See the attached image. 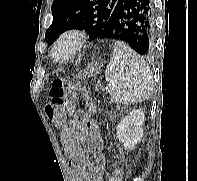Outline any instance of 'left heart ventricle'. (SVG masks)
<instances>
[{"label":"left heart ventricle","mask_w":197,"mask_h":181,"mask_svg":"<svg viewBox=\"0 0 197 181\" xmlns=\"http://www.w3.org/2000/svg\"><path fill=\"white\" fill-rule=\"evenodd\" d=\"M73 48V40L67 39L63 41L57 49V57L58 58H64L66 57L72 50Z\"/></svg>","instance_id":"1"}]
</instances>
